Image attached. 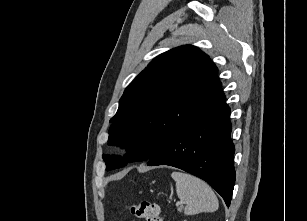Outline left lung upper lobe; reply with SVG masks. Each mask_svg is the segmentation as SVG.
<instances>
[{
    "label": "left lung upper lobe",
    "mask_w": 307,
    "mask_h": 221,
    "mask_svg": "<svg viewBox=\"0 0 307 221\" xmlns=\"http://www.w3.org/2000/svg\"><path fill=\"white\" fill-rule=\"evenodd\" d=\"M222 95L217 67L198 48L160 54L125 89L110 120L108 144L128 152L125 158L104 155L106 170L149 160Z\"/></svg>",
    "instance_id": "left-lung-upper-lobe-1"
}]
</instances>
